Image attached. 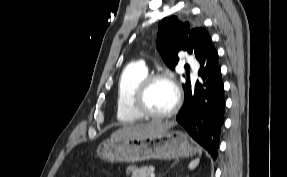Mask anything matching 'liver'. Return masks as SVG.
I'll return each mask as SVG.
<instances>
[{
    "label": "liver",
    "instance_id": "liver-1",
    "mask_svg": "<svg viewBox=\"0 0 287 177\" xmlns=\"http://www.w3.org/2000/svg\"><path fill=\"white\" fill-rule=\"evenodd\" d=\"M175 126L174 122L152 121L149 123L128 125L112 133L111 138H134L151 136Z\"/></svg>",
    "mask_w": 287,
    "mask_h": 177
}]
</instances>
